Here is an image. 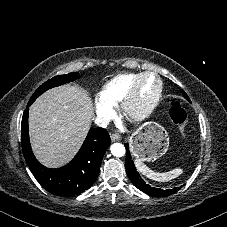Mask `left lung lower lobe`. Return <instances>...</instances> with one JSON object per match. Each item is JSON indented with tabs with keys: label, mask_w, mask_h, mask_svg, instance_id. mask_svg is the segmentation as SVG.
<instances>
[{
	"label": "left lung lower lobe",
	"mask_w": 227,
	"mask_h": 227,
	"mask_svg": "<svg viewBox=\"0 0 227 227\" xmlns=\"http://www.w3.org/2000/svg\"><path fill=\"white\" fill-rule=\"evenodd\" d=\"M126 161H125V167L128 174V177L130 178L131 182L142 192L151 195V196H157V197H166L171 194H174L177 192L180 188H173L168 190H163L160 188L151 187L149 184H147L139 175V173L136 171V167L134 165V162L132 161L129 146L126 143Z\"/></svg>",
	"instance_id": "left-lung-lower-lobe-1"
}]
</instances>
